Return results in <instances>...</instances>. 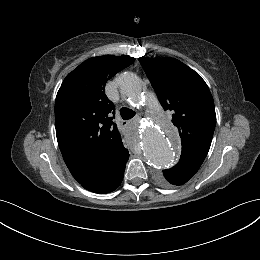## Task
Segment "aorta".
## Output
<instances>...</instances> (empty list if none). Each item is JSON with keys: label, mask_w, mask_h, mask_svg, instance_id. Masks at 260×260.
<instances>
[{"label": "aorta", "mask_w": 260, "mask_h": 260, "mask_svg": "<svg viewBox=\"0 0 260 260\" xmlns=\"http://www.w3.org/2000/svg\"><path fill=\"white\" fill-rule=\"evenodd\" d=\"M122 96L139 107L144 91L143 81L135 74L124 73L119 81ZM139 141L146 161L157 169L171 167L176 160L179 146L178 134L167 122L150 121L138 131Z\"/></svg>", "instance_id": "1"}]
</instances>
